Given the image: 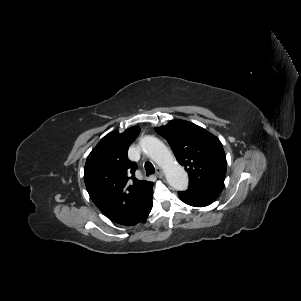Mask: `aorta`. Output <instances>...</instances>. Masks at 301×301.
I'll list each match as a JSON object with an SVG mask.
<instances>
[{
    "label": "aorta",
    "instance_id": "1",
    "mask_svg": "<svg viewBox=\"0 0 301 301\" xmlns=\"http://www.w3.org/2000/svg\"><path fill=\"white\" fill-rule=\"evenodd\" d=\"M143 152L156 162L165 172L166 179L175 190L184 191L188 188V175L179 165L168 148L154 136H144L140 140Z\"/></svg>",
    "mask_w": 301,
    "mask_h": 301
}]
</instances>
